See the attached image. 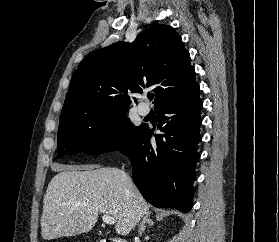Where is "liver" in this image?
I'll list each match as a JSON object with an SVG mask.
<instances>
[{"label":"liver","mask_w":279,"mask_h":242,"mask_svg":"<svg viewBox=\"0 0 279 242\" xmlns=\"http://www.w3.org/2000/svg\"><path fill=\"white\" fill-rule=\"evenodd\" d=\"M98 213L112 216L116 233L126 236L149 213V205L123 170L60 166L44 195L41 236L51 240L88 232Z\"/></svg>","instance_id":"1"}]
</instances>
